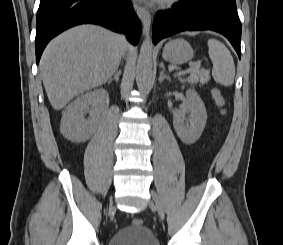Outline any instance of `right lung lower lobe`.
<instances>
[{"mask_svg": "<svg viewBox=\"0 0 283 245\" xmlns=\"http://www.w3.org/2000/svg\"><path fill=\"white\" fill-rule=\"evenodd\" d=\"M83 23L123 32L132 44L138 43L141 34V22L130 0H41L35 38L37 64L53 37Z\"/></svg>", "mask_w": 283, "mask_h": 245, "instance_id": "98d812e1", "label": "right lung lower lobe"}]
</instances>
